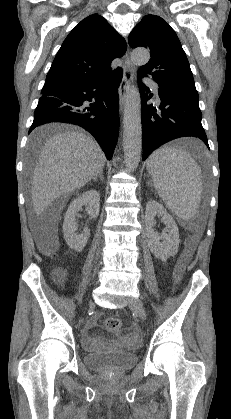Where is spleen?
I'll list each match as a JSON object with an SVG mask.
<instances>
[{
    "instance_id": "obj_1",
    "label": "spleen",
    "mask_w": 231,
    "mask_h": 419,
    "mask_svg": "<svg viewBox=\"0 0 231 419\" xmlns=\"http://www.w3.org/2000/svg\"><path fill=\"white\" fill-rule=\"evenodd\" d=\"M147 169L166 207L182 220L193 218L203 186L195 160L181 149L163 146L151 154Z\"/></svg>"
}]
</instances>
